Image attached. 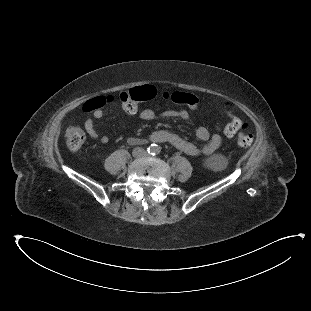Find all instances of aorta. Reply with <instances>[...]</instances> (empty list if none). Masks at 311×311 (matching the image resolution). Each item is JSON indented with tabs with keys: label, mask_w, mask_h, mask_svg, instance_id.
I'll return each instance as SVG.
<instances>
[{
	"label": "aorta",
	"mask_w": 311,
	"mask_h": 311,
	"mask_svg": "<svg viewBox=\"0 0 311 311\" xmlns=\"http://www.w3.org/2000/svg\"><path fill=\"white\" fill-rule=\"evenodd\" d=\"M150 150H151L152 153H157V152L160 151L159 147L156 144L151 145L150 146Z\"/></svg>",
	"instance_id": "762f6f07"
}]
</instances>
